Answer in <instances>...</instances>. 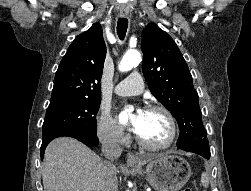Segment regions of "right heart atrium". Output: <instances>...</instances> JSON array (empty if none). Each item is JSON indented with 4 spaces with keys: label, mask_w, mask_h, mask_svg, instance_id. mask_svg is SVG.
<instances>
[{
    "label": "right heart atrium",
    "mask_w": 251,
    "mask_h": 191,
    "mask_svg": "<svg viewBox=\"0 0 251 191\" xmlns=\"http://www.w3.org/2000/svg\"><path fill=\"white\" fill-rule=\"evenodd\" d=\"M95 132L98 140L106 145H123L128 141L122 127L105 110H100L96 117Z\"/></svg>",
    "instance_id": "right-heart-atrium-1"
}]
</instances>
